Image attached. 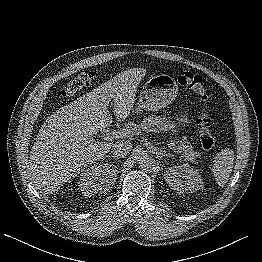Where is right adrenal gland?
<instances>
[{"label":"right adrenal gland","mask_w":262,"mask_h":262,"mask_svg":"<svg viewBox=\"0 0 262 262\" xmlns=\"http://www.w3.org/2000/svg\"><path fill=\"white\" fill-rule=\"evenodd\" d=\"M107 158H114V159H117V157L116 156H110V155H107Z\"/></svg>","instance_id":"right-adrenal-gland-1"}]
</instances>
